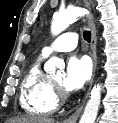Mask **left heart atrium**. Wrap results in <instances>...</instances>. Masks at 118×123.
Listing matches in <instances>:
<instances>
[{
  "instance_id": "left-heart-atrium-1",
  "label": "left heart atrium",
  "mask_w": 118,
  "mask_h": 123,
  "mask_svg": "<svg viewBox=\"0 0 118 123\" xmlns=\"http://www.w3.org/2000/svg\"><path fill=\"white\" fill-rule=\"evenodd\" d=\"M91 75V65L87 57L72 56L68 59L62 86L67 91H76L84 86Z\"/></svg>"
}]
</instances>
